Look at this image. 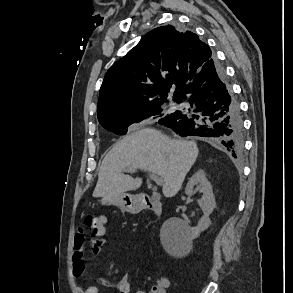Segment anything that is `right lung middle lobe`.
<instances>
[{"label": "right lung middle lobe", "instance_id": "dd1d6c3e", "mask_svg": "<svg viewBox=\"0 0 293 293\" xmlns=\"http://www.w3.org/2000/svg\"><path fill=\"white\" fill-rule=\"evenodd\" d=\"M170 112L161 108V102L146 109L137 110L129 113H111L98 118L100 124L117 134H125L131 123H137L151 116L165 117Z\"/></svg>", "mask_w": 293, "mask_h": 293}]
</instances>
